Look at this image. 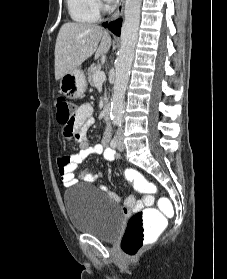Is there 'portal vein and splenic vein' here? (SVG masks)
Returning a JSON list of instances; mask_svg holds the SVG:
<instances>
[{
  "label": "portal vein and splenic vein",
  "mask_w": 227,
  "mask_h": 279,
  "mask_svg": "<svg viewBox=\"0 0 227 279\" xmlns=\"http://www.w3.org/2000/svg\"><path fill=\"white\" fill-rule=\"evenodd\" d=\"M105 79H106V76H105L104 71H97L94 74V81L95 82H103V81H105Z\"/></svg>",
  "instance_id": "1"
}]
</instances>
